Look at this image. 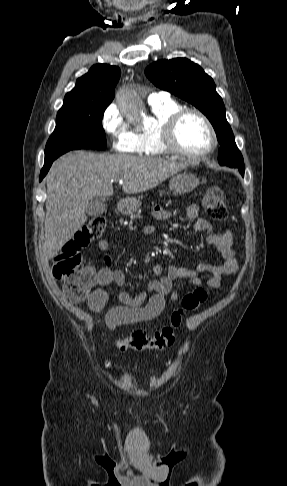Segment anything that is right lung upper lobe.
Wrapping results in <instances>:
<instances>
[{
	"label": "right lung upper lobe",
	"instance_id": "right-lung-upper-lobe-1",
	"mask_svg": "<svg viewBox=\"0 0 287 486\" xmlns=\"http://www.w3.org/2000/svg\"><path fill=\"white\" fill-rule=\"evenodd\" d=\"M120 78V69L107 64H96L78 78L72 91L66 94L63 106L82 104H110Z\"/></svg>",
	"mask_w": 287,
	"mask_h": 486
}]
</instances>
